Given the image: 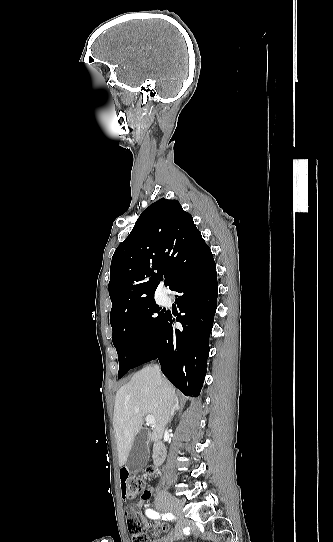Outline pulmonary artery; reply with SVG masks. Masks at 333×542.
Listing matches in <instances>:
<instances>
[{
    "mask_svg": "<svg viewBox=\"0 0 333 542\" xmlns=\"http://www.w3.org/2000/svg\"><path fill=\"white\" fill-rule=\"evenodd\" d=\"M162 292H163V293H166V292H167V290H165V289H164V290H163Z\"/></svg>",
    "mask_w": 333,
    "mask_h": 542,
    "instance_id": "e3ab8cb5",
    "label": "pulmonary artery"
}]
</instances>
